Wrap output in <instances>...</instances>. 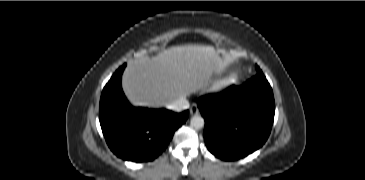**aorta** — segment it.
<instances>
[{
	"label": "aorta",
	"instance_id": "obj_1",
	"mask_svg": "<svg viewBox=\"0 0 365 180\" xmlns=\"http://www.w3.org/2000/svg\"><path fill=\"white\" fill-rule=\"evenodd\" d=\"M205 121L203 117L195 115L190 120V125L195 129H201L204 127Z\"/></svg>",
	"mask_w": 365,
	"mask_h": 180
}]
</instances>
